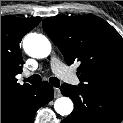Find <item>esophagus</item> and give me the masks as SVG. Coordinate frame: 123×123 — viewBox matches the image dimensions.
I'll list each match as a JSON object with an SVG mask.
<instances>
[{
    "mask_svg": "<svg viewBox=\"0 0 123 123\" xmlns=\"http://www.w3.org/2000/svg\"><path fill=\"white\" fill-rule=\"evenodd\" d=\"M61 96V91H60V89L59 88H54V97L55 98H58V97H60Z\"/></svg>",
    "mask_w": 123,
    "mask_h": 123,
    "instance_id": "obj_1",
    "label": "esophagus"
}]
</instances>
